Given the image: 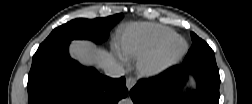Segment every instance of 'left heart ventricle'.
Instances as JSON below:
<instances>
[{
	"mask_svg": "<svg viewBox=\"0 0 252 104\" xmlns=\"http://www.w3.org/2000/svg\"><path fill=\"white\" fill-rule=\"evenodd\" d=\"M181 47H182V43H181L180 41H176V42L172 45L171 52H176V51H178Z\"/></svg>",
	"mask_w": 252,
	"mask_h": 104,
	"instance_id": "b2bd125f",
	"label": "left heart ventricle"
}]
</instances>
